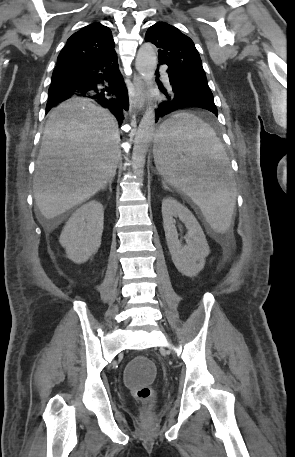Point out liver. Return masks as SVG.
I'll list each match as a JSON object with an SVG mask.
<instances>
[{
    "label": "liver",
    "mask_w": 295,
    "mask_h": 457,
    "mask_svg": "<svg viewBox=\"0 0 295 457\" xmlns=\"http://www.w3.org/2000/svg\"><path fill=\"white\" fill-rule=\"evenodd\" d=\"M119 132L108 110L72 98L46 122L33 179L37 207L53 220L94 196L114 178Z\"/></svg>",
    "instance_id": "obj_1"
}]
</instances>
